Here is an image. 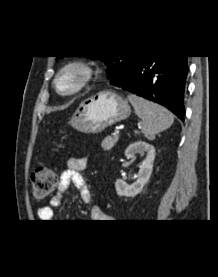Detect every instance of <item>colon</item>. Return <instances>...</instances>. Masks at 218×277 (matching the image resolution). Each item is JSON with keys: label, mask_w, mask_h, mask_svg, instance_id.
<instances>
[{"label": "colon", "mask_w": 218, "mask_h": 277, "mask_svg": "<svg viewBox=\"0 0 218 277\" xmlns=\"http://www.w3.org/2000/svg\"><path fill=\"white\" fill-rule=\"evenodd\" d=\"M33 196L37 200L46 199L57 185V174L49 167L37 168L31 176Z\"/></svg>", "instance_id": "1"}]
</instances>
